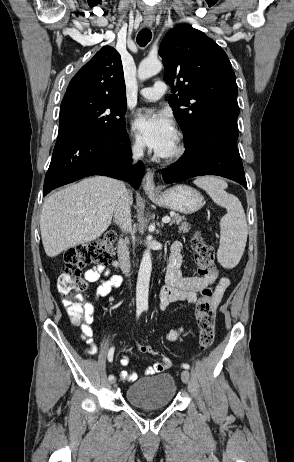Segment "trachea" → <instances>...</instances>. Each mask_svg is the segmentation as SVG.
<instances>
[{"label": "trachea", "mask_w": 294, "mask_h": 462, "mask_svg": "<svg viewBox=\"0 0 294 462\" xmlns=\"http://www.w3.org/2000/svg\"><path fill=\"white\" fill-rule=\"evenodd\" d=\"M152 38V33L149 29L141 30L137 35V43L139 46L144 47Z\"/></svg>", "instance_id": "1"}]
</instances>
